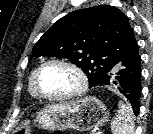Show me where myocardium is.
<instances>
[{
	"mask_svg": "<svg viewBox=\"0 0 153 134\" xmlns=\"http://www.w3.org/2000/svg\"><path fill=\"white\" fill-rule=\"evenodd\" d=\"M50 65H61L70 69L76 75L78 79L77 87L73 91L66 94H62V95H49L44 93L41 90L40 84H39L40 75L42 71ZM87 87H88V77L86 72L83 70V68L79 66L77 63L64 58H52L43 62L37 68L34 75V88L38 96L49 101H65V100L79 97L86 91Z\"/></svg>",
	"mask_w": 153,
	"mask_h": 134,
	"instance_id": "obj_1",
	"label": "myocardium"
}]
</instances>
